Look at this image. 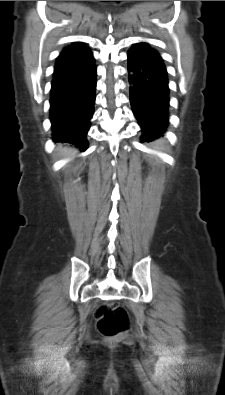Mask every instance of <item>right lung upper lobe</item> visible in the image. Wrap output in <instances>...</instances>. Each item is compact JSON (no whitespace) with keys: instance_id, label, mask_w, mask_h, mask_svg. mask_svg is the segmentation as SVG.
Wrapping results in <instances>:
<instances>
[{"instance_id":"obj_1","label":"right lung upper lobe","mask_w":225,"mask_h":395,"mask_svg":"<svg viewBox=\"0 0 225 395\" xmlns=\"http://www.w3.org/2000/svg\"><path fill=\"white\" fill-rule=\"evenodd\" d=\"M94 60L91 50L83 42L65 47L57 57L54 72H64L87 65Z\"/></svg>"}]
</instances>
